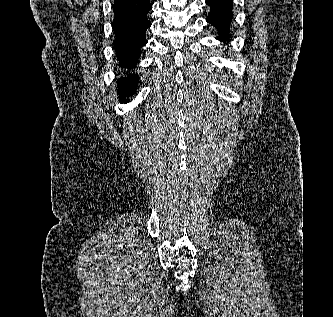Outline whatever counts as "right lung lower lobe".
<instances>
[{"mask_svg":"<svg viewBox=\"0 0 333 317\" xmlns=\"http://www.w3.org/2000/svg\"><path fill=\"white\" fill-rule=\"evenodd\" d=\"M151 9L149 0H115L113 4V49L124 69L130 70L137 64L140 48L147 43L146 30L151 26L147 15ZM138 80L135 74L117 80L118 93L123 101L135 92Z\"/></svg>","mask_w":333,"mask_h":317,"instance_id":"98d812e1","label":"right lung lower lobe"}]
</instances>
